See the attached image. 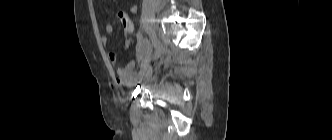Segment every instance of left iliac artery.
<instances>
[{
  "instance_id": "44dca946",
  "label": "left iliac artery",
  "mask_w": 332,
  "mask_h": 140,
  "mask_svg": "<svg viewBox=\"0 0 332 140\" xmlns=\"http://www.w3.org/2000/svg\"><path fill=\"white\" fill-rule=\"evenodd\" d=\"M150 39H151V42H152L153 46L156 47V45H157V36H156V33L154 31H152L150 33Z\"/></svg>"
}]
</instances>
